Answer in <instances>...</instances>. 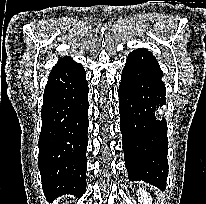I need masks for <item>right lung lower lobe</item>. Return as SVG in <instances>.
<instances>
[{
	"instance_id": "right-lung-lower-lobe-1",
	"label": "right lung lower lobe",
	"mask_w": 206,
	"mask_h": 204,
	"mask_svg": "<svg viewBox=\"0 0 206 204\" xmlns=\"http://www.w3.org/2000/svg\"><path fill=\"white\" fill-rule=\"evenodd\" d=\"M88 84L74 61L52 70L41 109L38 166L46 198L86 191Z\"/></svg>"
}]
</instances>
